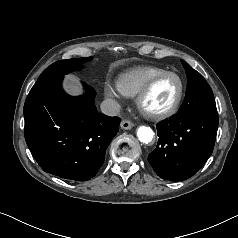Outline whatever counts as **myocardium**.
I'll list each match as a JSON object with an SVG mask.
<instances>
[{
	"label": "myocardium",
	"mask_w": 238,
	"mask_h": 238,
	"mask_svg": "<svg viewBox=\"0 0 238 238\" xmlns=\"http://www.w3.org/2000/svg\"><path fill=\"white\" fill-rule=\"evenodd\" d=\"M167 76H174L179 81V85H180L179 91H178V94H177L175 100L169 107H167L166 109H163L161 111H150V110L146 109L144 106L145 99L150 94L154 85L160 79L167 77ZM184 92H185V83H184L183 78L175 72L165 71V72L155 75L148 81V83L144 86V88L141 90V92L137 95L136 105H137V108L140 111V113L143 116H145L146 118L151 119V120H156V121L164 120V119L171 117L178 111V109L181 105V102L183 100Z\"/></svg>",
	"instance_id": "obj_1"
}]
</instances>
